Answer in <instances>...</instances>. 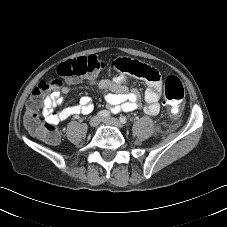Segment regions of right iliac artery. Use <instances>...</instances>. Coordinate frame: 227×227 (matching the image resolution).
I'll use <instances>...</instances> for the list:
<instances>
[{"instance_id":"obj_1","label":"right iliac artery","mask_w":227,"mask_h":227,"mask_svg":"<svg viewBox=\"0 0 227 227\" xmlns=\"http://www.w3.org/2000/svg\"><path fill=\"white\" fill-rule=\"evenodd\" d=\"M97 115H98L99 117L106 118V117H109V116H110V113H109L108 111H106V110H102V111H99V112L97 113Z\"/></svg>"}]
</instances>
